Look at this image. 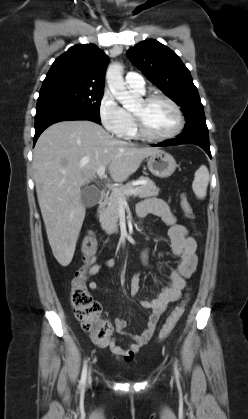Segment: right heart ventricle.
Wrapping results in <instances>:
<instances>
[{
	"label": "right heart ventricle",
	"instance_id": "e07e8e85",
	"mask_svg": "<svg viewBox=\"0 0 248 419\" xmlns=\"http://www.w3.org/2000/svg\"><path fill=\"white\" fill-rule=\"evenodd\" d=\"M129 117H130L129 125L127 127V130H126V133H125L124 137L128 138V139H137V138H139V135L136 131L133 116L131 114H129Z\"/></svg>",
	"mask_w": 248,
	"mask_h": 419
}]
</instances>
